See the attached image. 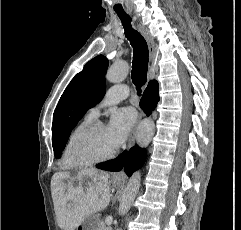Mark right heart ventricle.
Returning <instances> with one entry per match:
<instances>
[{"label":"right heart ventricle","mask_w":241,"mask_h":230,"mask_svg":"<svg viewBox=\"0 0 241 230\" xmlns=\"http://www.w3.org/2000/svg\"><path fill=\"white\" fill-rule=\"evenodd\" d=\"M93 117L87 115L85 116L78 124L74 126V128L70 131L66 142L64 144V148L62 151V166L66 169L77 168L82 165L76 162L72 154L73 143L78 136V134L92 121Z\"/></svg>","instance_id":"1"}]
</instances>
